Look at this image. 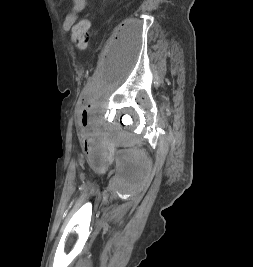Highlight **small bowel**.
Masks as SVG:
<instances>
[{
	"label": "small bowel",
	"instance_id": "obj_1",
	"mask_svg": "<svg viewBox=\"0 0 253 267\" xmlns=\"http://www.w3.org/2000/svg\"><path fill=\"white\" fill-rule=\"evenodd\" d=\"M71 2V9L66 14L63 20V29H71L78 20L79 13L87 10L88 0H69Z\"/></svg>",
	"mask_w": 253,
	"mask_h": 267
}]
</instances>
